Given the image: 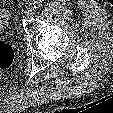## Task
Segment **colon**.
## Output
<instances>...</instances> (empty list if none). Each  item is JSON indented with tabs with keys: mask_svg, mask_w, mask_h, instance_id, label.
Here are the masks:
<instances>
[{
	"mask_svg": "<svg viewBox=\"0 0 113 113\" xmlns=\"http://www.w3.org/2000/svg\"><path fill=\"white\" fill-rule=\"evenodd\" d=\"M14 59L13 49L6 43L0 42V70L8 68Z\"/></svg>",
	"mask_w": 113,
	"mask_h": 113,
	"instance_id": "5ec220e1",
	"label": "colon"
}]
</instances>
